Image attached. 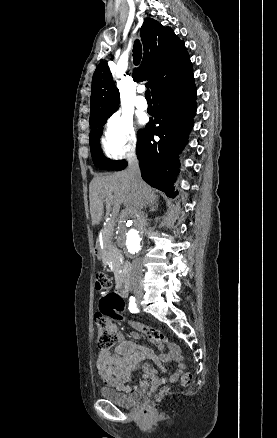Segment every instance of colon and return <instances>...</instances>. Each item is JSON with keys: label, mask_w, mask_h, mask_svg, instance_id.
<instances>
[{"label": "colon", "mask_w": 277, "mask_h": 438, "mask_svg": "<svg viewBox=\"0 0 277 438\" xmlns=\"http://www.w3.org/2000/svg\"><path fill=\"white\" fill-rule=\"evenodd\" d=\"M112 284L111 279L101 271L96 272L95 274V292L100 294L106 290H108V285ZM95 325L97 328L101 329L96 336V345L99 350H109L114 346L117 342V336L105 330L107 325L110 323V315L106 313H96L94 317ZM144 334L147 335L151 340L155 343H164L167 342L168 339L164 337L163 333L152 327H145L142 329ZM192 374L190 372L184 373L181 376V384L183 386L189 385L192 381ZM152 398H163L165 392L163 389H152L150 392Z\"/></svg>", "instance_id": "colon-1"}]
</instances>
